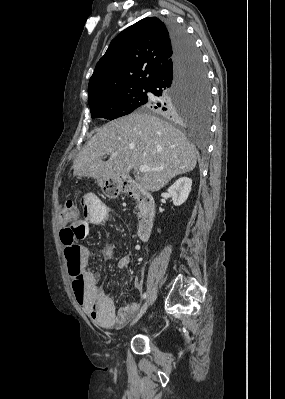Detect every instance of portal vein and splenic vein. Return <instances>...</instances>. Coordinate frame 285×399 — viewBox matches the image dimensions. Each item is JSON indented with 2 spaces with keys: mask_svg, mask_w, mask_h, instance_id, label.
<instances>
[{
  "mask_svg": "<svg viewBox=\"0 0 285 399\" xmlns=\"http://www.w3.org/2000/svg\"><path fill=\"white\" fill-rule=\"evenodd\" d=\"M112 156H116V154L113 153ZM149 170H152V171H160V170H163V168H150L148 165H141V166H139V171L142 172V173H145V172H147V171H149Z\"/></svg>",
  "mask_w": 285,
  "mask_h": 399,
  "instance_id": "obj_1",
  "label": "portal vein and splenic vein"
}]
</instances>
